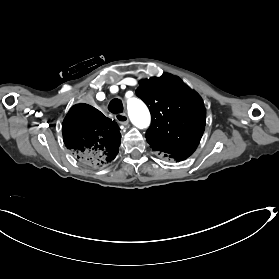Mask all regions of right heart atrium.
<instances>
[{"label":"right heart atrium","mask_w":279,"mask_h":279,"mask_svg":"<svg viewBox=\"0 0 279 279\" xmlns=\"http://www.w3.org/2000/svg\"><path fill=\"white\" fill-rule=\"evenodd\" d=\"M130 83H131V84H134V81H131Z\"/></svg>","instance_id":"1"}]
</instances>
